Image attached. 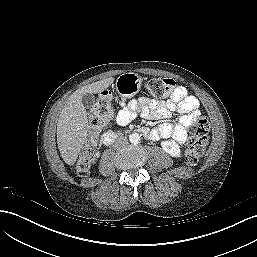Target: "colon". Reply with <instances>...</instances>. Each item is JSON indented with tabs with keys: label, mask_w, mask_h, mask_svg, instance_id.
<instances>
[{
	"label": "colon",
	"mask_w": 257,
	"mask_h": 257,
	"mask_svg": "<svg viewBox=\"0 0 257 257\" xmlns=\"http://www.w3.org/2000/svg\"><path fill=\"white\" fill-rule=\"evenodd\" d=\"M176 82L170 78L152 77L146 82V89L149 95L155 99L165 98L173 92ZM115 98L109 91L102 92L95 100L90 119L89 135L87 144L84 147L76 164L80 174L87 172L90 154L95 147L100 132L109 123L114 110ZM209 122L201 115L194 118L191 131L192 137L185 152V160L189 165H195L204 155L209 139Z\"/></svg>",
	"instance_id": "1"
}]
</instances>
